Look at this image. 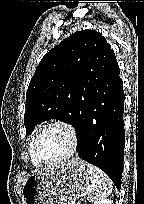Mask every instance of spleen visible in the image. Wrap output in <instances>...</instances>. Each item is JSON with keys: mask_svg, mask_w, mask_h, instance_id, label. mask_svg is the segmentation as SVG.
I'll list each match as a JSON object with an SVG mask.
<instances>
[{"mask_svg": "<svg viewBox=\"0 0 144 204\" xmlns=\"http://www.w3.org/2000/svg\"><path fill=\"white\" fill-rule=\"evenodd\" d=\"M89 174L90 185L86 188L88 200L94 203L105 200L112 191L109 177L104 171L93 165H89Z\"/></svg>", "mask_w": 144, "mask_h": 204, "instance_id": "3e777b00", "label": "spleen"}]
</instances>
